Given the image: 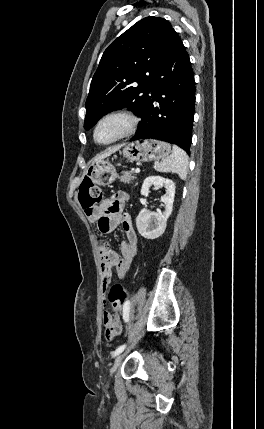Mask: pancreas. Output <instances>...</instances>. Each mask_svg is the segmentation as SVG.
I'll list each match as a JSON object with an SVG mask.
<instances>
[{
	"label": "pancreas",
	"instance_id": "cf45deb5",
	"mask_svg": "<svg viewBox=\"0 0 264 429\" xmlns=\"http://www.w3.org/2000/svg\"><path fill=\"white\" fill-rule=\"evenodd\" d=\"M135 178L133 171H123L122 175L119 177L120 181L125 184L132 183Z\"/></svg>",
	"mask_w": 264,
	"mask_h": 429
}]
</instances>
